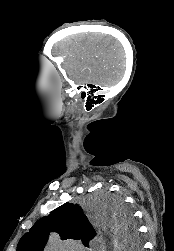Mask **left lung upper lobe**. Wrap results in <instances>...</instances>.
<instances>
[{
    "instance_id": "obj_1",
    "label": "left lung upper lobe",
    "mask_w": 174,
    "mask_h": 251,
    "mask_svg": "<svg viewBox=\"0 0 174 251\" xmlns=\"http://www.w3.org/2000/svg\"><path fill=\"white\" fill-rule=\"evenodd\" d=\"M107 204L106 211L117 222L118 233L121 239L127 240L138 249V232L132 214L123 202L116 197L105 199ZM58 232L62 240L81 239L85 246L89 240L95 236V230L84 215L79 205L65 203L53 210L49 216L38 220L24 234L17 246V251H43L48 241L50 232Z\"/></svg>"
}]
</instances>
